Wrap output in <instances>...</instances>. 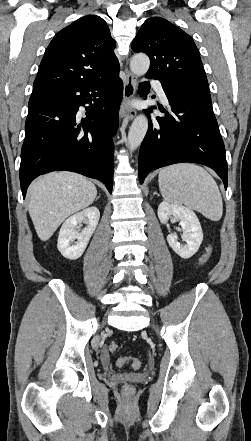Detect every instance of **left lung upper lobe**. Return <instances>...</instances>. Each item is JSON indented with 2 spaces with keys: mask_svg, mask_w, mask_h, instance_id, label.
Segmentation results:
<instances>
[{
  "mask_svg": "<svg viewBox=\"0 0 251 441\" xmlns=\"http://www.w3.org/2000/svg\"><path fill=\"white\" fill-rule=\"evenodd\" d=\"M132 50L149 56L147 78L193 86L209 92L200 54L193 39L166 19H147L132 43Z\"/></svg>",
  "mask_w": 251,
  "mask_h": 441,
  "instance_id": "1",
  "label": "left lung upper lobe"
}]
</instances>
